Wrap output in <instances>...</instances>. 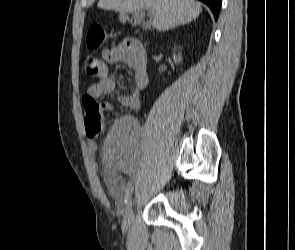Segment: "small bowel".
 <instances>
[{
    "label": "small bowel",
    "mask_w": 295,
    "mask_h": 250,
    "mask_svg": "<svg viewBox=\"0 0 295 250\" xmlns=\"http://www.w3.org/2000/svg\"><path fill=\"white\" fill-rule=\"evenodd\" d=\"M118 62H125L134 70L132 92L119 96L118 103L123 107L137 109L141 104V93L148 84V71L143 46L134 39L125 40L118 46L103 51L99 80L88 87L86 95L97 99L114 90L115 77L109 73L108 65ZM102 106L106 112L112 110L108 103ZM89 148L91 152L96 151L94 141H89ZM139 150L140 132L137 124L131 117L120 118L109 130L103 145L105 181L114 195L119 197L124 193L126 182L120 172H131Z\"/></svg>",
    "instance_id": "obj_1"
}]
</instances>
